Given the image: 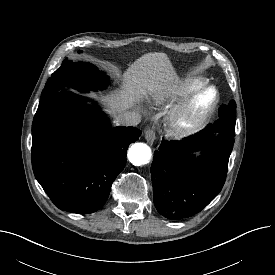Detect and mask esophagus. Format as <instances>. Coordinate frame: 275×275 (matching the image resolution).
Instances as JSON below:
<instances>
[{
	"label": "esophagus",
	"instance_id": "1",
	"mask_svg": "<svg viewBox=\"0 0 275 275\" xmlns=\"http://www.w3.org/2000/svg\"><path fill=\"white\" fill-rule=\"evenodd\" d=\"M145 139L150 143L153 144V142L156 139V133L153 129H148L145 131Z\"/></svg>",
	"mask_w": 275,
	"mask_h": 275
}]
</instances>
